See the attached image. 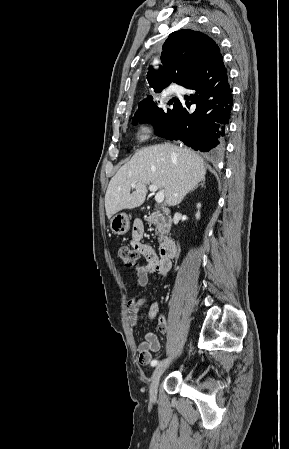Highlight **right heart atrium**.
<instances>
[{
	"instance_id": "right-heart-atrium-1",
	"label": "right heart atrium",
	"mask_w": 289,
	"mask_h": 449,
	"mask_svg": "<svg viewBox=\"0 0 289 449\" xmlns=\"http://www.w3.org/2000/svg\"><path fill=\"white\" fill-rule=\"evenodd\" d=\"M138 138L145 139L152 131V123L148 118L140 120L137 124Z\"/></svg>"
}]
</instances>
